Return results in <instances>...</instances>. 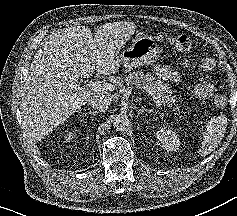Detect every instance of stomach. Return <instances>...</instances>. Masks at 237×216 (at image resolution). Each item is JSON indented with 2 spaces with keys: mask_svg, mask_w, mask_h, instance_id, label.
I'll list each match as a JSON object with an SVG mask.
<instances>
[{
  "mask_svg": "<svg viewBox=\"0 0 237 216\" xmlns=\"http://www.w3.org/2000/svg\"><path fill=\"white\" fill-rule=\"evenodd\" d=\"M161 51L152 37L143 36L120 54V62L126 69L132 70L139 66L153 64L160 57Z\"/></svg>",
  "mask_w": 237,
  "mask_h": 216,
  "instance_id": "stomach-1",
  "label": "stomach"
}]
</instances>
